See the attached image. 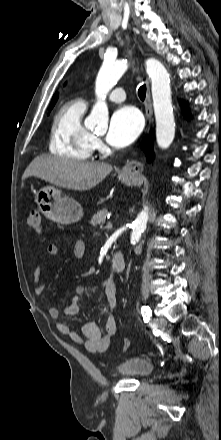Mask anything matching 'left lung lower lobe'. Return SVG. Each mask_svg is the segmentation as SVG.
I'll use <instances>...</instances> for the list:
<instances>
[{
    "mask_svg": "<svg viewBox=\"0 0 221 440\" xmlns=\"http://www.w3.org/2000/svg\"><path fill=\"white\" fill-rule=\"evenodd\" d=\"M153 144L152 140L147 137L142 144V149L146 152V156L148 161H151L153 159Z\"/></svg>",
    "mask_w": 221,
    "mask_h": 440,
    "instance_id": "left-lung-lower-lobe-1",
    "label": "left lung lower lobe"
}]
</instances>
